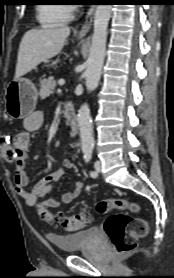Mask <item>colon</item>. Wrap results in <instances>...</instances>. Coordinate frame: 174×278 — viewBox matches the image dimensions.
Returning <instances> with one entry per match:
<instances>
[{
  "mask_svg": "<svg viewBox=\"0 0 174 278\" xmlns=\"http://www.w3.org/2000/svg\"><path fill=\"white\" fill-rule=\"evenodd\" d=\"M0 153L5 161L14 162L15 151L8 136H0ZM113 210H128L137 213L140 211V207L137 203L124 198L105 199L97 204V211L101 214H106ZM39 214L44 220H55L66 232L83 229L92 221V215L88 211H81L74 215L59 213L53 217L44 207L40 206ZM104 228L115 250L118 253H125L133 250L137 245L138 238L147 233L148 223L143 218L120 212L110 215L105 221Z\"/></svg>",
  "mask_w": 174,
  "mask_h": 278,
  "instance_id": "obj_1",
  "label": "colon"
}]
</instances>
